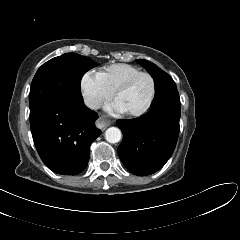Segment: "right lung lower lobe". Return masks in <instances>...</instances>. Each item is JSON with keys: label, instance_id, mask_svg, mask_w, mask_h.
Returning <instances> with one entry per match:
<instances>
[{"label": "right lung lower lobe", "instance_id": "right-lung-lower-lobe-1", "mask_svg": "<svg viewBox=\"0 0 240 240\" xmlns=\"http://www.w3.org/2000/svg\"><path fill=\"white\" fill-rule=\"evenodd\" d=\"M97 118L83 100H55L30 112L33 140L44 164L57 174L81 173L91 143L101 134L94 125Z\"/></svg>", "mask_w": 240, "mask_h": 240}]
</instances>
